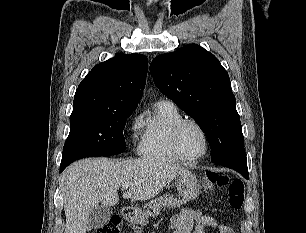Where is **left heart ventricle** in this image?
Listing matches in <instances>:
<instances>
[{
  "mask_svg": "<svg viewBox=\"0 0 306 233\" xmlns=\"http://www.w3.org/2000/svg\"><path fill=\"white\" fill-rule=\"evenodd\" d=\"M179 146L185 156L194 158L203 153L204 138L194 125L189 124L180 133Z\"/></svg>",
  "mask_w": 306,
  "mask_h": 233,
  "instance_id": "b2bd125f",
  "label": "left heart ventricle"
}]
</instances>
